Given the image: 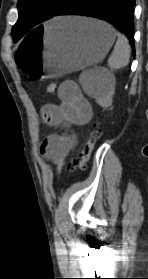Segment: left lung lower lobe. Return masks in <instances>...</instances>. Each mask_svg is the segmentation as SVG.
Instances as JSON below:
<instances>
[{
	"instance_id": "1",
	"label": "left lung lower lobe",
	"mask_w": 148,
	"mask_h": 279,
	"mask_svg": "<svg viewBox=\"0 0 148 279\" xmlns=\"http://www.w3.org/2000/svg\"><path fill=\"white\" fill-rule=\"evenodd\" d=\"M134 7L135 0H70L55 16L83 15L105 20L127 36L134 54Z\"/></svg>"
}]
</instances>
